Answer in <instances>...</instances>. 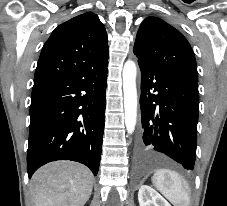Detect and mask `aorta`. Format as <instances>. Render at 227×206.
<instances>
[{
    "mask_svg": "<svg viewBox=\"0 0 227 206\" xmlns=\"http://www.w3.org/2000/svg\"><path fill=\"white\" fill-rule=\"evenodd\" d=\"M137 68L133 61H126L123 68L124 119L128 133H133L137 120Z\"/></svg>",
    "mask_w": 227,
    "mask_h": 206,
    "instance_id": "obj_1",
    "label": "aorta"
}]
</instances>
